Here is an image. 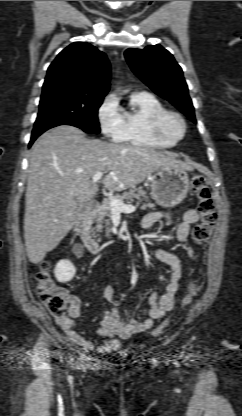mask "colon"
Masks as SVG:
<instances>
[{
    "label": "colon",
    "mask_w": 242,
    "mask_h": 416,
    "mask_svg": "<svg viewBox=\"0 0 242 416\" xmlns=\"http://www.w3.org/2000/svg\"><path fill=\"white\" fill-rule=\"evenodd\" d=\"M192 187L198 201V212L200 220L195 225L192 238L194 242L201 246L210 238L217 221V213L214 202L208 188V181L202 175H195L192 178ZM51 263L43 260L40 263V269L37 272V291L41 301L45 304L50 314L56 318L63 317L68 304V297L64 290L57 287L51 276ZM198 287L191 285L184 299L188 304L196 294ZM169 322L159 324L152 332L153 336H158Z\"/></svg>",
    "instance_id": "1"
}]
</instances>
